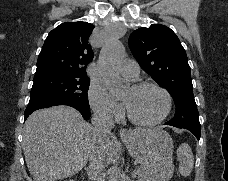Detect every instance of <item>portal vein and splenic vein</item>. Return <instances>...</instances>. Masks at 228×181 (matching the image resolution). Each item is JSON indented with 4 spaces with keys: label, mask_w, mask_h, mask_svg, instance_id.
Masks as SVG:
<instances>
[{
    "label": "portal vein and splenic vein",
    "mask_w": 228,
    "mask_h": 181,
    "mask_svg": "<svg viewBox=\"0 0 228 181\" xmlns=\"http://www.w3.org/2000/svg\"><path fill=\"white\" fill-rule=\"evenodd\" d=\"M138 170H139V169H138L137 167H134V168H133V172H134L135 174L139 172Z\"/></svg>",
    "instance_id": "18ae733b"
}]
</instances>
